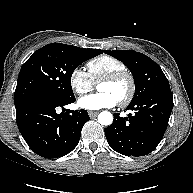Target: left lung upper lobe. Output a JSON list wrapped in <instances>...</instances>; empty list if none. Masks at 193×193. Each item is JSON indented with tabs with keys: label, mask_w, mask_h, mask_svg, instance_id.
<instances>
[{
	"label": "left lung upper lobe",
	"mask_w": 193,
	"mask_h": 193,
	"mask_svg": "<svg viewBox=\"0 0 193 193\" xmlns=\"http://www.w3.org/2000/svg\"><path fill=\"white\" fill-rule=\"evenodd\" d=\"M104 53L123 62L131 71L135 81V103L161 85L168 83L161 68L148 56L134 50H105Z\"/></svg>",
	"instance_id": "obj_1"
}]
</instances>
